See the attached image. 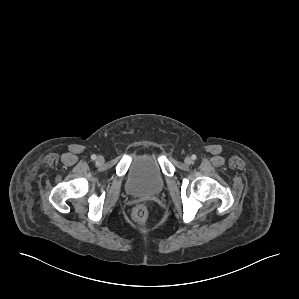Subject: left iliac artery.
Segmentation results:
<instances>
[{
	"label": "left iliac artery",
	"instance_id": "obj_1",
	"mask_svg": "<svg viewBox=\"0 0 299 299\" xmlns=\"http://www.w3.org/2000/svg\"><path fill=\"white\" fill-rule=\"evenodd\" d=\"M192 159L195 160L196 159V155H192Z\"/></svg>",
	"mask_w": 299,
	"mask_h": 299
}]
</instances>
